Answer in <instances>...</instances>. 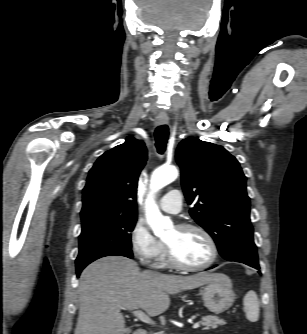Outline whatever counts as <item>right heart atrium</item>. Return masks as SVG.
Returning <instances> with one entry per match:
<instances>
[{
	"instance_id": "obj_1",
	"label": "right heart atrium",
	"mask_w": 307,
	"mask_h": 334,
	"mask_svg": "<svg viewBox=\"0 0 307 334\" xmlns=\"http://www.w3.org/2000/svg\"><path fill=\"white\" fill-rule=\"evenodd\" d=\"M133 256L143 265L155 261L164 250V246L150 231L147 224L137 220L129 235Z\"/></svg>"
}]
</instances>
